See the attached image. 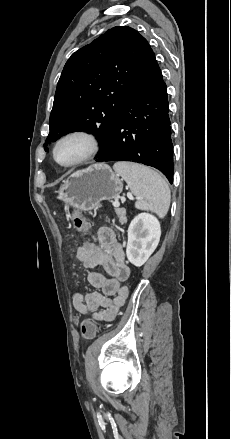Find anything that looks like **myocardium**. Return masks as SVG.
<instances>
[{
  "label": "myocardium",
  "mask_w": 231,
  "mask_h": 439,
  "mask_svg": "<svg viewBox=\"0 0 231 439\" xmlns=\"http://www.w3.org/2000/svg\"><path fill=\"white\" fill-rule=\"evenodd\" d=\"M72 137H82V138L86 139L89 143V150L81 158H79L71 163L63 164V163L59 162L57 159V149L63 141H65L69 138H72ZM99 150H100V140L95 133H93L89 130H86V129H74V130H71V131L64 133L56 140V142L53 146V149H52V156H53V159L57 165L64 167V168H71V167L78 166L80 164H83V163L91 160L92 158H94L97 155Z\"/></svg>",
  "instance_id": "obj_1"
}]
</instances>
